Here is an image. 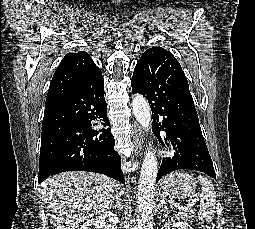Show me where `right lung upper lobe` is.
Segmentation results:
<instances>
[{
	"label": "right lung upper lobe",
	"instance_id": "right-lung-upper-lobe-1",
	"mask_svg": "<svg viewBox=\"0 0 255 229\" xmlns=\"http://www.w3.org/2000/svg\"><path fill=\"white\" fill-rule=\"evenodd\" d=\"M94 67L97 66L86 52L65 55L54 73L46 104L66 97L73 90L76 82Z\"/></svg>",
	"mask_w": 255,
	"mask_h": 229
}]
</instances>
